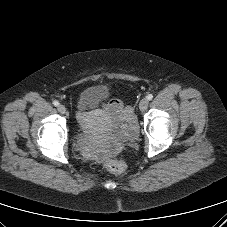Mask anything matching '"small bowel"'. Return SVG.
<instances>
[{
	"mask_svg": "<svg viewBox=\"0 0 227 227\" xmlns=\"http://www.w3.org/2000/svg\"><path fill=\"white\" fill-rule=\"evenodd\" d=\"M100 119L103 123L111 122L113 126L111 139L131 136L136 131V120L132 108L124 106L118 99H113L103 104V112L100 113ZM121 124L124 126L122 127ZM80 147L85 157L91 158L98 163L102 162L106 156H113L116 153V146L113 141H111L107 150L102 148L99 135H94L89 139H82Z\"/></svg>",
	"mask_w": 227,
	"mask_h": 227,
	"instance_id": "1",
	"label": "small bowel"
}]
</instances>
